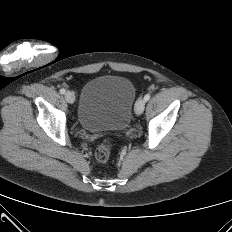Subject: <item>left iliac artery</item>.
I'll list each match as a JSON object with an SVG mask.
<instances>
[{"label":"left iliac artery","instance_id":"44dca946","mask_svg":"<svg viewBox=\"0 0 232 232\" xmlns=\"http://www.w3.org/2000/svg\"><path fill=\"white\" fill-rule=\"evenodd\" d=\"M150 97H151V95H150V94H146V95L144 96V100H145V102H147V101L150 99Z\"/></svg>","mask_w":232,"mask_h":232}]
</instances>
